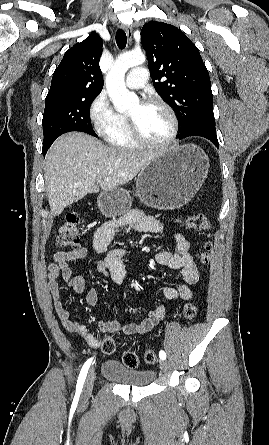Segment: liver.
I'll return each mask as SVG.
<instances>
[{"label":"liver","mask_w":269,"mask_h":445,"mask_svg":"<svg viewBox=\"0 0 269 445\" xmlns=\"http://www.w3.org/2000/svg\"><path fill=\"white\" fill-rule=\"evenodd\" d=\"M160 152L109 147L90 135L72 132L47 153L45 181L53 216L99 188L111 190L131 181Z\"/></svg>","instance_id":"liver-1"}]
</instances>
